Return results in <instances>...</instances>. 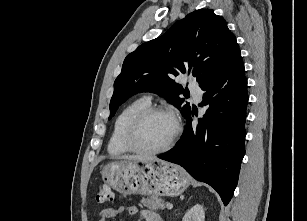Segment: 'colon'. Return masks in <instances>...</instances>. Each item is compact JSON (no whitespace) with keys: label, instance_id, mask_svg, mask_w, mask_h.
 I'll return each mask as SVG.
<instances>
[{"label":"colon","instance_id":"5ec220e1","mask_svg":"<svg viewBox=\"0 0 307 221\" xmlns=\"http://www.w3.org/2000/svg\"><path fill=\"white\" fill-rule=\"evenodd\" d=\"M113 200V193L108 185H101L96 195V202L99 205L109 203Z\"/></svg>","mask_w":307,"mask_h":221}]
</instances>
